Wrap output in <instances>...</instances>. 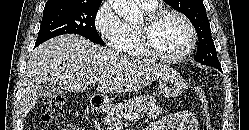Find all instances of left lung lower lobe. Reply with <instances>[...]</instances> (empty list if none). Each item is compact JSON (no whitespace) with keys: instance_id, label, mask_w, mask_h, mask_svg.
<instances>
[{"instance_id":"0a47b994","label":"left lung lower lobe","mask_w":249,"mask_h":130,"mask_svg":"<svg viewBox=\"0 0 249 130\" xmlns=\"http://www.w3.org/2000/svg\"><path fill=\"white\" fill-rule=\"evenodd\" d=\"M218 70H220L221 72H222V69H221V67H219V68H217Z\"/></svg>"}]
</instances>
